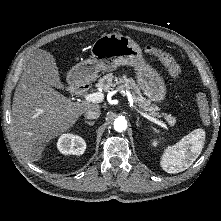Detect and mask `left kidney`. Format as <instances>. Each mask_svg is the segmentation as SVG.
I'll use <instances>...</instances> for the list:
<instances>
[{
    "label": "left kidney",
    "mask_w": 221,
    "mask_h": 221,
    "mask_svg": "<svg viewBox=\"0 0 221 221\" xmlns=\"http://www.w3.org/2000/svg\"><path fill=\"white\" fill-rule=\"evenodd\" d=\"M157 144H158V141L157 140H153L152 145L153 146H157Z\"/></svg>",
    "instance_id": "left-kidney-1"
}]
</instances>
